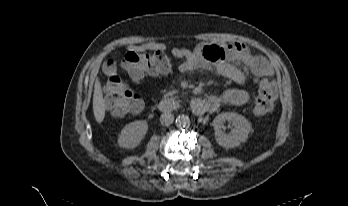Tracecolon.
<instances>
[{
  "mask_svg": "<svg viewBox=\"0 0 348 206\" xmlns=\"http://www.w3.org/2000/svg\"><path fill=\"white\" fill-rule=\"evenodd\" d=\"M122 65L132 79L139 81L145 74L157 76L167 73L170 70L171 61L169 55L160 49L134 50L124 55ZM104 78L105 107L108 110L117 115L141 110L142 102L118 75L114 63L110 62L106 65ZM257 86L258 95L253 114L260 117L274 109L276 92L273 84L264 78L257 79Z\"/></svg>",
  "mask_w": 348,
  "mask_h": 206,
  "instance_id": "colon-1",
  "label": "colon"
}]
</instances>
